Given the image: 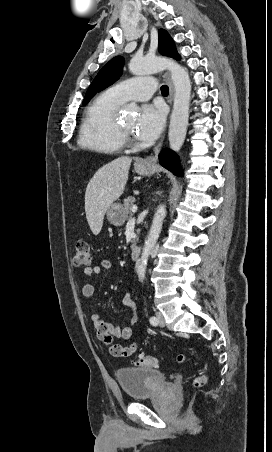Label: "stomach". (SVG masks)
<instances>
[{
	"mask_svg": "<svg viewBox=\"0 0 272 452\" xmlns=\"http://www.w3.org/2000/svg\"><path fill=\"white\" fill-rule=\"evenodd\" d=\"M134 168L136 173L140 175H150L152 168L142 162H135ZM108 221L115 226H121L126 220V214L124 208L119 203L112 204L107 210Z\"/></svg>",
	"mask_w": 272,
	"mask_h": 452,
	"instance_id": "1",
	"label": "stomach"
}]
</instances>
